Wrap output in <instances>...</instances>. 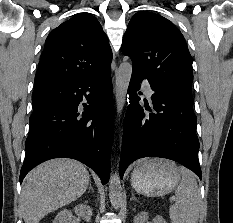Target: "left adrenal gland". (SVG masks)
<instances>
[{"mask_svg": "<svg viewBox=\"0 0 233 223\" xmlns=\"http://www.w3.org/2000/svg\"><path fill=\"white\" fill-rule=\"evenodd\" d=\"M131 195H132V197H130V199H137V197H135L133 191H131Z\"/></svg>", "mask_w": 233, "mask_h": 223, "instance_id": "left-adrenal-gland-1", "label": "left adrenal gland"}]
</instances>
